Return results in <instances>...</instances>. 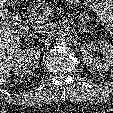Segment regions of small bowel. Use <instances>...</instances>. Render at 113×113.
Listing matches in <instances>:
<instances>
[{
    "instance_id": "1",
    "label": "small bowel",
    "mask_w": 113,
    "mask_h": 113,
    "mask_svg": "<svg viewBox=\"0 0 113 113\" xmlns=\"http://www.w3.org/2000/svg\"><path fill=\"white\" fill-rule=\"evenodd\" d=\"M86 2L95 10L98 17L106 23L109 30L113 31V0H86ZM81 18L88 20L89 16L87 13H83Z\"/></svg>"
}]
</instances>
